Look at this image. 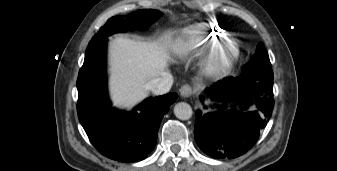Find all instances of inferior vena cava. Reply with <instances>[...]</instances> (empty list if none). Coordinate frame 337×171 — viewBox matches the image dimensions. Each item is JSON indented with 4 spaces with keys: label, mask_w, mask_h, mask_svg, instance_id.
<instances>
[{
    "label": "inferior vena cava",
    "mask_w": 337,
    "mask_h": 171,
    "mask_svg": "<svg viewBox=\"0 0 337 171\" xmlns=\"http://www.w3.org/2000/svg\"><path fill=\"white\" fill-rule=\"evenodd\" d=\"M173 84V76L165 72L162 77L153 79L147 83V89L151 90L156 95H162L171 89Z\"/></svg>",
    "instance_id": "inferior-vena-cava-1"
}]
</instances>
